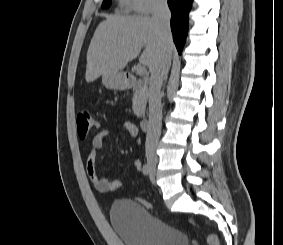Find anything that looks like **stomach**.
<instances>
[{
	"label": "stomach",
	"mask_w": 283,
	"mask_h": 245,
	"mask_svg": "<svg viewBox=\"0 0 283 245\" xmlns=\"http://www.w3.org/2000/svg\"><path fill=\"white\" fill-rule=\"evenodd\" d=\"M102 81L108 89H120L126 84L125 77L121 72H107L102 75Z\"/></svg>",
	"instance_id": "1"
}]
</instances>
